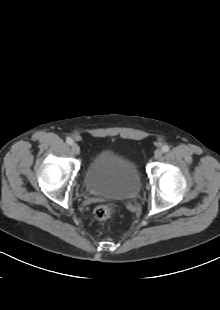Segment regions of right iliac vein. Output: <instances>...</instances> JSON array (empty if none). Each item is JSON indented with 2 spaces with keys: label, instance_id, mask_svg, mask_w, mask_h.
Masks as SVG:
<instances>
[{
  "label": "right iliac vein",
  "instance_id": "obj_1",
  "mask_svg": "<svg viewBox=\"0 0 220 310\" xmlns=\"http://www.w3.org/2000/svg\"><path fill=\"white\" fill-rule=\"evenodd\" d=\"M71 149H72V152L75 155H79L80 154V147L77 144H72Z\"/></svg>",
  "mask_w": 220,
  "mask_h": 310
}]
</instances>
